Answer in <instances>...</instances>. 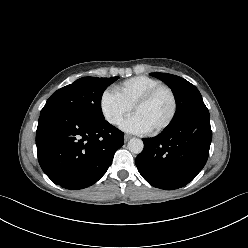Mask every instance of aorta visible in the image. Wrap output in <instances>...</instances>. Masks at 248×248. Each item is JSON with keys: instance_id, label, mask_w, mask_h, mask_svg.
Masks as SVG:
<instances>
[{"instance_id": "1", "label": "aorta", "mask_w": 248, "mask_h": 248, "mask_svg": "<svg viewBox=\"0 0 248 248\" xmlns=\"http://www.w3.org/2000/svg\"><path fill=\"white\" fill-rule=\"evenodd\" d=\"M128 149L133 154H140L143 151L144 143L141 139L133 138L128 142Z\"/></svg>"}]
</instances>
